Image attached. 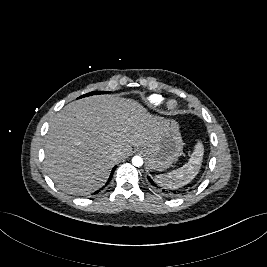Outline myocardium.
<instances>
[{"label": "myocardium", "mask_w": 267, "mask_h": 267, "mask_svg": "<svg viewBox=\"0 0 267 267\" xmlns=\"http://www.w3.org/2000/svg\"><path fill=\"white\" fill-rule=\"evenodd\" d=\"M165 108L168 112H173L176 108V102L173 100L166 102Z\"/></svg>", "instance_id": "f54148a6"}]
</instances>
